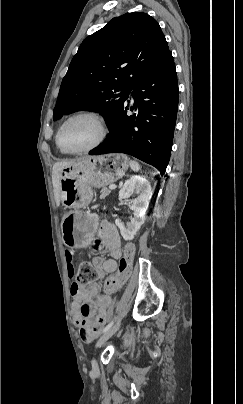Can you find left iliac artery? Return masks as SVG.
Here are the masks:
<instances>
[{
	"mask_svg": "<svg viewBox=\"0 0 243 404\" xmlns=\"http://www.w3.org/2000/svg\"><path fill=\"white\" fill-rule=\"evenodd\" d=\"M114 322H115V319H114L112 322H110V323L104 328L103 333L106 332V331H108V330L112 327V325L114 324Z\"/></svg>",
	"mask_w": 243,
	"mask_h": 404,
	"instance_id": "obj_1",
	"label": "left iliac artery"
}]
</instances>
